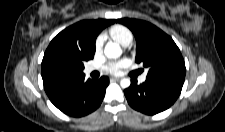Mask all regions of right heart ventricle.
<instances>
[{"instance_id": "obj_1", "label": "right heart ventricle", "mask_w": 225, "mask_h": 132, "mask_svg": "<svg viewBox=\"0 0 225 132\" xmlns=\"http://www.w3.org/2000/svg\"><path fill=\"white\" fill-rule=\"evenodd\" d=\"M109 36L123 46L129 45L133 40L132 31L120 24L113 25L108 30Z\"/></svg>"}]
</instances>
